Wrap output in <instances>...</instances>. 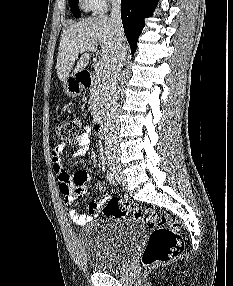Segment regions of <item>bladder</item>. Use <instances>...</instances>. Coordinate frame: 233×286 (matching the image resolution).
Listing matches in <instances>:
<instances>
[{"label": "bladder", "mask_w": 233, "mask_h": 286, "mask_svg": "<svg viewBox=\"0 0 233 286\" xmlns=\"http://www.w3.org/2000/svg\"><path fill=\"white\" fill-rule=\"evenodd\" d=\"M145 230L146 225L133 218L89 224L78 234L81 256L95 272L121 270L128 264Z\"/></svg>", "instance_id": "obj_1"}]
</instances>
